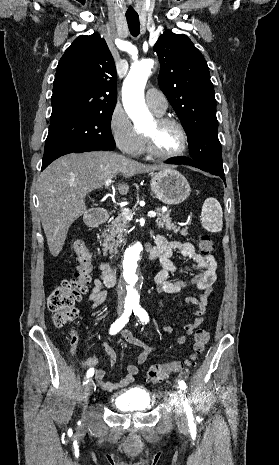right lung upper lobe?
<instances>
[{
	"instance_id": "cb5924a9",
	"label": "right lung upper lobe",
	"mask_w": 279,
	"mask_h": 465,
	"mask_svg": "<svg viewBox=\"0 0 279 465\" xmlns=\"http://www.w3.org/2000/svg\"><path fill=\"white\" fill-rule=\"evenodd\" d=\"M50 124L114 109L116 68L98 33L81 35L59 61L51 97Z\"/></svg>"
}]
</instances>
